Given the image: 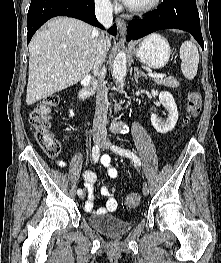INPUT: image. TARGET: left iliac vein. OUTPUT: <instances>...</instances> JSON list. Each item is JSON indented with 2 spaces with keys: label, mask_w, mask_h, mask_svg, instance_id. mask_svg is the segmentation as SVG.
I'll list each match as a JSON object with an SVG mask.
<instances>
[{
  "label": "left iliac vein",
  "mask_w": 221,
  "mask_h": 263,
  "mask_svg": "<svg viewBox=\"0 0 221 263\" xmlns=\"http://www.w3.org/2000/svg\"><path fill=\"white\" fill-rule=\"evenodd\" d=\"M100 145L103 149H109L110 148V143L106 138H103V141ZM142 192L145 196L148 195V193H149V187H148V184L146 182L143 183Z\"/></svg>",
  "instance_id": "left-iliac-vein-1"
}]
</instances>
